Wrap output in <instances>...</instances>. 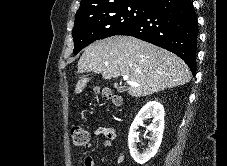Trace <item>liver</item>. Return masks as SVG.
I'll use <instances>...</instances> for the list:
<instances>
[{"label": "liver", "mask_w": 227, "mask_h": 166, "mask_svg": "<svg viewBox=\"0 0 227 166\" xmlns=\"http://www.w3.org/2000/svg\"><path fill=\"white\" fill-rule=\"evenodd\" d=\"M101 73L104 79L128 76L139 86H129L133 97L152 95L191 80L187 64L177 55L131 36H112L87 46L78 61V72ZM91 79L81 77L75 87L80 94Z\"/></svg>", "instance_id": "liver-1"}]
</instances>
